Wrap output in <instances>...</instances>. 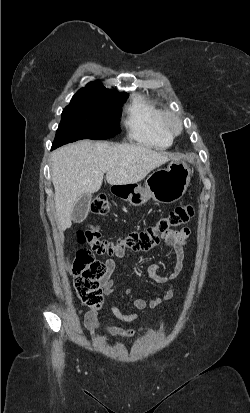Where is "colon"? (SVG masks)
Here are the masks:
<instances>
[{
	"mask_svg": "<svg viewBox=\"0 0 250 413\" xmlns=\"http://www.w3.org/2000/svg\"><path fill=\"white\" fill-rule=\"evenodd\" d=\"M91 211L94 215L105 216L109 212V203L105 196H97L91 203ZM194 214L191 205L176 207L168 215L159 219L154 225L143 231L131 232L126 237L115 242H109L101 237L96 226H90L77 233L78 241L87 242L92 251H79L73 261L68 265V271L74 279V285L80 300L87 306L97 308L102 302L100 280L106 269L103 263L93 257V252L99 255L113 254L116 251H149L155 247L161 239H164L163 231L186 224Z\"/></svg>",
	"mask_w": 250,
	"mask_h": 413,
	"instance_id": "colon-1",
	"label": "colon"
}]
</instances>
